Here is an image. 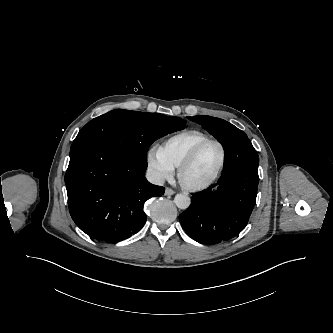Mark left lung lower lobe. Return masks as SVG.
Here are the masks:
<instances>
[{
    "mask_svg": "<svg viewBox=\"0 0 333 333\" xmlns=\"http://www.w3.org/2000/svg\"><path fill=\"white\" fill-rule=\"evenodd\" d=\"M258 165V154L247 137L225 149L224 169L217 184L192 194L191 205L179 215L192 239L217 244L246 227L256 202Z\"/></svg>",
    "mask_w": 333,
    "mask_h": 333,
    "instance_id": "obj_1",
    "label": "left lung lower lobe"
}]
</instances>
